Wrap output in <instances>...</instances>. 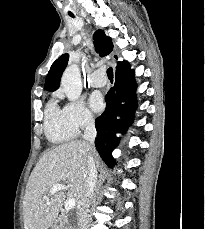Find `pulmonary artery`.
Returning a JSON list of instances; mask_svg holds the SVG:
<instances>
[{
  "label": "pulmonary artery",
  "instance_id": "obj_1",
  "mask_svg": "<svg viewBox=\"0 0 205 229\" xmlns=\"http://www.w3.org/2000/svg\"><path fill=\"white\" fill-rule=\"evenodd\" d=\"M89 83L92 87H102L106 84V78L99 72H94L90 78Z\"/></svg>",
  "mask_w": 205,
  "mask_h": 229
}]
</instances>
